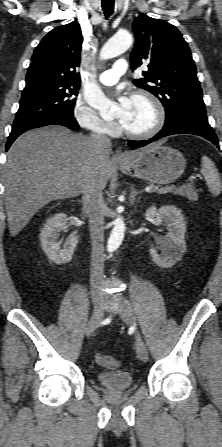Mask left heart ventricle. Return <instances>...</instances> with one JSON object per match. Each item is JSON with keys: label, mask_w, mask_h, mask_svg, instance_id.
Instances as JSON below:
<instances>
[{"label": "left heart ventricle", "mask_w": 222, "mask_h": 447, "mask_svg": "<svg viewBox=\"0 0 222 447\" xmlns=\"http://www.w3.org/2000/svg\"><path fill=\"white\" fill-rule=\"evenodd\" d=\"M155 122L153 107L143 99H132L131 107L123 125L126 129L141 132L149 129Z\"/></svg>", "instance_id": "1"}]
</instances>
